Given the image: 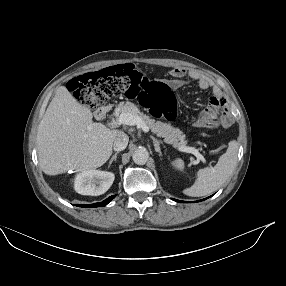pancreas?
<instances>
[{"label":"pancreas","instance_id":"obj_1","mask_svg":"<svg viewBox=\"0 0 286 286\" xmlns=\"http://www.w3.org/2000/svg\"><path fill=\"white\" fill-rule=\"evenodd\" d=\"M121 113H129L138 117L144 124H146L153 133L157 136L163 137L164 141L172 144L174 147H184L187 142L185 135L178 128H174L169 123L155 121L149 116L141 112L133 103H120L115 109V115L119 116Z\"/></svg>","mask_w":286,"mask_h":286}]
</instances>
